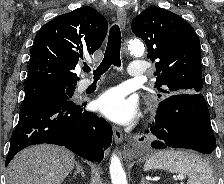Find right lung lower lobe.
Listing matches in <instances>:
<instances>
[{
	"mask_svg": "<svg viewBox=\"0 0 224 184\" xmlns=\"http://www.w3.org/2000/svg\"><path fill=\"white\" fill-rule=\"evenodd\" d=\"M71 98L46 96L21 106L6 166L23 148L42 143L64 146L90 161L104 158L112 141L110 124Z\"/></svg>",
	"mask_w": 224,
	"mask_h": 184,
	"instance_id": "1",
	"label": "right lung lower lobe"
}]
</instances>
